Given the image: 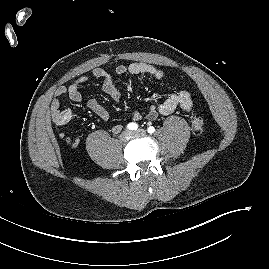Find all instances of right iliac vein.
I'll list each match as a JSON object with an SVG mask.
<instances>
[{
	"label": "right iliac vein",
	"instance_id": "obj_1",
	"mask_svg": "<svg viewBox=\"0 0 269 269\" xmlns=\"http://www.w3.org/2000/svg\"><path fill=\"white\" fill-rule=\"evenodd\" d=\"M133 137V134L131 131H125L120 135V140L123 142L129 141Z\"/></svg>",
	"mask_w": 269,
	"mask_h": 269
}]
</instances>
